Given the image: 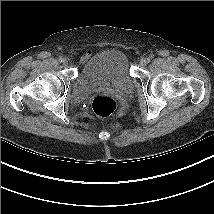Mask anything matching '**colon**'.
<instances>
[{"instance_id":"colon-1","label":"colon","mask_w":214,"mask_h":214,"mask_svg":"<svg viewBox=\"0 0 214 214\" xmlns=\"http://www.w3.org/2000/svg\"><path fill=\"white\" fill-rule=\"evenodd\" d=\"M92 109L95 114L104 118L108 124H111V116L117 109V100L111 96H97L92 101Z\"/></svg>"}]
</instances>
